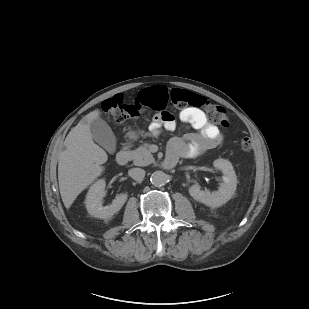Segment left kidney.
Masks as SVG:
<instances>
[{
    "label": "left kidney",
    "instance_id": "left-kidney-1",
    "mask_svg": "<svg viewBox=\"0 0 309 309\" xmlns=\"http://www.w3.org/2000/svg\"><path fill=\"white\" fill-rule=\"evenodd\" d=\"M216 169L223 173V182L215 192L209 190H201L200 185L195 184L189 188L190 196L206 206L219 207L229 201L235 194L237 187V177L232 164L225 159H217L213 162Z\"/></svg>",
    "mask_w": 309,
    "mask_h": 309
}]
</instances>
